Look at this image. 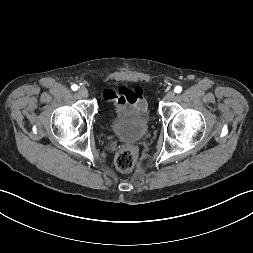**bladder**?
Returning a JSON list of instances; mask_svg holds the SVG:
<instances>
[{"label":"bladder","mask_w":253,"mask_h":253,"mask_svg":"<svg viewBox=\"0 0 253 253\" xmlns=\"http://www.w3.org/2000/svg\"><path fill=\"white\" fill-rule=\"evenodd\" d=\"M150 128V116L146 108L138 110H116L112 123L113 132L125 141H138L145 137Z\"/></svg>","instance_id":"31cf9c89"}]
</instances>
